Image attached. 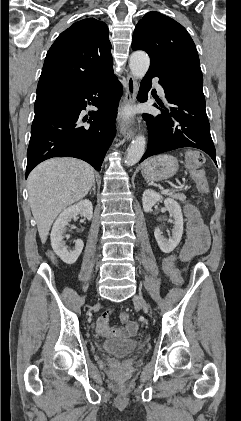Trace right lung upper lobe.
<instances>
[{"label":"right lung upper lobe","mask_w":241,"mask_h":421,"mask_svg":"<svg viewBox=\"0 0 241 421\" xmlns=\"http://www.w3.org/2000/svg\"><path fill=\"white\" fill-rule=\"evenodd\" d=\"M108 27L95 18L75 22L49 49L37 86V97L90 84L112 69Z\"/></svg>","instance_id":"cb5924a9"}]
</instances>
